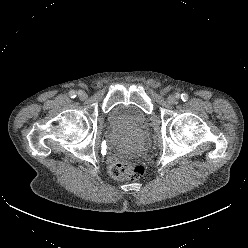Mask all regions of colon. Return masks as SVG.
I'll return each instance as SVG.
<instances>
[{"instance_id":"5ec220e1","label":"colon","mask_w":248,"mask_h":248,"mask_svg":"<svg viewBox=\"0 0 248 248\" xmlns=\"http://www.w3.org/2000/svg\"><path fill=\"white\" fill-rule=\"evenodd\" d=\"M145 171V164L133 157L119 159L110 167L111 176L117 180H137L145 174Z\"/></svg>"}]
</instances>
